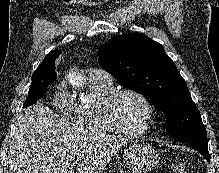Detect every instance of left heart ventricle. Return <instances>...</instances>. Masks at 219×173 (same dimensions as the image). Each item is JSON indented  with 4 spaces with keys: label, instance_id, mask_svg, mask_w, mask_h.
Here are the masks:
<instances>
[{
    "label": "left heart ventricle",
    "instance_id": "obj_1",
    "mask_svg": "<svg viewBox=\"0 0 219 173\" xmlns=\"http://www.w3.org/2000/svg\"><path fill=\"white\" fill-rule=\"evenodd\" d=\"M116 116L122 128L128 131H137L144 126L147 111L139 98L133 95H124L116 105Z\"/></svg>",
    "mask_w": 219,
    "mask_h": 173
}]
</instances>
